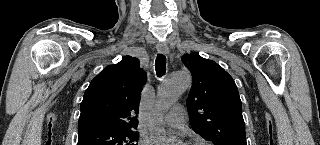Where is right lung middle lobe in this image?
<instances>
[{"instance_id":"right-lung-middle-lobe-1","label":"right lung middle lobe","mask_w":320,"mask_h":145,"mask_svg":"<svg viewBox=\"0 0 320 145\" xmlns=\"http://www.w3.org/2000/svg\"><path fill=\"white\" fill-rule=\"evenodd\" d=\"M139 134L131 129L99 130L78 138V145H137Z\"/></svg>"}]
</instances>
